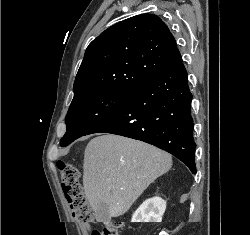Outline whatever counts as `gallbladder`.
<instances>
[{
	"instance_id": "bac80fb5",
	"label": "gallbladder",
	"mask_w": 250,
	"mask_h": 235,
	"mask_svg": "<svg viewBox=\"0 0 250 235\" xmlns=\"http://www.w3.org/2000/svg\"><path fill=\"white\" fill-rule=\"evenodd\" d=\"M97 217L99 222L108 223L111 221V215L109 213V207L107 204L102 203L99 206Z\"/></svg>"
}]
</instances>
